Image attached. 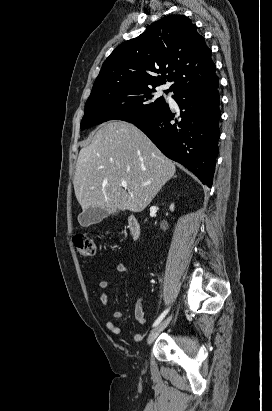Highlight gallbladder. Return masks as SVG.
Here are the masks:
<instances>
[{"instance_id": "gallbladder-1", "label": "gallbladder", "mask_w": 272, "mask_h": 411, "mask_svg": "<svg viewBox=\"0 0 272 411\" xmlns=\"http://www.w3.org/2000/svg\"><path fill=\"white\" fill-rule=\"evenodd\" d=\"M107 216L108 214L103 209L99 207H91L79 215L78 221L82 227H88L102 222Z\"/></svg>"}]
</instances>
